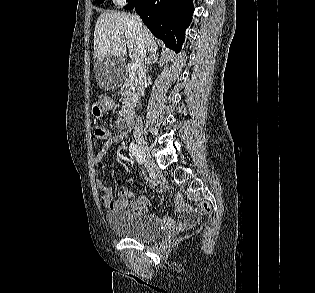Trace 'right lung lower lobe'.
<instances>
[{
  "mask_svg": "<svg viewBox=\"0 0 315 293\" xmlns=\"http://www.w3.org/2000/svg\"><path fill=\"white\" fill-rule=\"evenodd\" d=\"M155 37L180 52L184 31L192 20V0H130L125 9H133Z\"/></svg>",
  "mask_w": 315,
  "mask_h": 293,
  "instance_id": "1",
  "label": "right lung lower lobe"
}]
</instances>
